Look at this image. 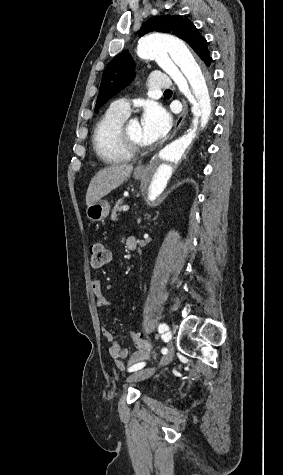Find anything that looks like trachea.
Wrapping results in <instances>:
<instances>
[{
  "instance_id": "trachea-1",
  "label": "trachea",
  "mask_w": 283,
  "mask_h": 475,
  "mask_svg": "<svg viewBox=\"0 0 283 475\" xmlns=\"http://www.w3.org/2000/svg\"><path fill=\"white\" fill-rule=\"evenodd\" d=\"M164 94H166V95H172V90H165Z\"/></svg>"
}]
</instances>
